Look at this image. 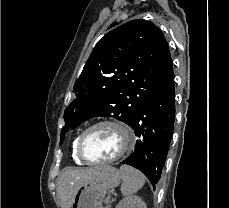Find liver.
I'll use <instances>...</instances> for the list:
<instances>
[{
    "instance_id": "6515ba94",
    "label": "liver",
    "mask_w": 229,
    "mask_h": 208,
    "mask_svg": "<svg viewBox=\"0 0 229 208\" xmlns=\"http://www.w3.org/2000/svg\"><path fill=\"white\" fill-rule=\"evenodd\" d=\"M105 166H95V168H64L57 182V192L60 198L61 208H71L73 198L80 186L99 178Z\"/></svg>"
}]
</instances>
